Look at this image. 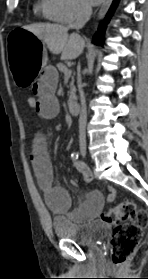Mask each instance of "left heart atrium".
Instances as JSON below:
<instances>
[{
  "mask_svg": "<svg viewBox=\"0 0 148 279\" xmlns=\"http://www.w3.org/2000/svg\"><path fill=\"white\" fill-rule=\"evenodd\" d=\"M85 3L89 4V5H97L99 4L102 0H84Z\"/></svg>",
  "mask_w": 148,
  "mask_h": 279,
  "instance_id": "39dd6f15",
  "label": "left heart atrium"
}]
</instances>
